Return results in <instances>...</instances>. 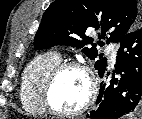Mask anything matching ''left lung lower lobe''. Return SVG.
Here are the masks:
<instances>
[{"mask_svg":"<svg viewBox=\"0 0 142 119\" xmlns=\"http://www.w3.org/2000/svg\"><path fill=\"white\" fill-rule=\"evenodd\" d=\"M107 67V65H106ZM110 82L100 84L97 104L88 119H119L126 114L142 113V27L128 32L120 40L114 73ZM109 72L99 73L102 78ZM114 77V74H113Z\"/></svg>","mask_w":142,"mask_h":119,"instance_id":"left-lung-lower-lobe-1","label":"left lung lower lobe"}]
</instances>
